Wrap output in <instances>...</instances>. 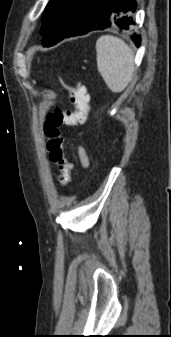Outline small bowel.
Segmentation results:
<instances>
[{
  "instance_id": "small-bowel-1",
  "label": "small bowel",
  "mask_w": 171,
  "mask_h": 337,
  "mask_svg": "<svg viewBox=\"0 0 171 337\" xmlns=\"http://www.w3.org/2000/svg\"><path fill=\"white\" fill-rule=\"evenodd\" d=\"M77 156H78V159L82 165V167L86 168L89 166V158L87 156V153L85 151V149L81 146H77L74 148Z\"/></svg>"
}]
</instances>
